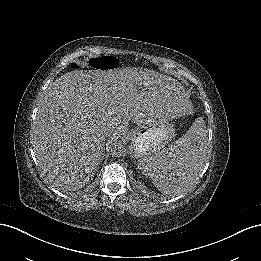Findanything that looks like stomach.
Returning <instances> with one entry per match:
<instances>
[{
  "label": "stomach",
  "mask_w": 261,
  "mask_h": 261,
  "mask_svg": "<svg viewBox=\"0 0 261 261\" xmlns=\"http://www.w3.org/2000/svg\"><path fill=\"white\" fill-rule=\"evenodd\" d=\"M163 116L152 115L131 132V154L135 158L149 157L158 152L170 133Z\"/></svg>",
  "instance_id": "0dacf381"
}]
</instances>
